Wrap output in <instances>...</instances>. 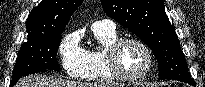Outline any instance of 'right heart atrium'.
Instances as JSON below:
<instances>
[{"mask_svg": "<svg viewBox=\"0 0 205 87\" xmlns=\"http://www.w3.org/2000/svg\"><path fill=\"white\" fill-rule=\"evenodd\" d=\"M58 55L65 72L79 78L85 68V50L79 44V37L75 33L66 35L58 46Z\"/></svg>", "mask_w": 205, "mask_h": 87, "instance_id": "1", "label": "right heart atrium"}]
</instances>
